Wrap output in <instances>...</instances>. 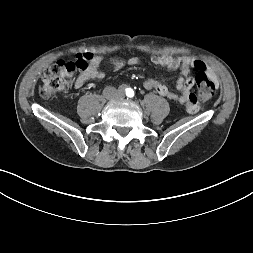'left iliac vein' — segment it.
I'll use <instances>...</instances> for the list:
<instances>
[{
  "instance_id": "1",
  "label": "left iliac vein",
  "mask_w": 253,
  "mask_h": 253,
  "mask_svg": "<svg viewBox=\"0 0 253 253\" xmlns=\"http://www.w3.org/2000/svg\"><path fill=\"white\" fill-rule=\"evenodd\" d=\"M117 95H118L119 97H122L124 94L121 93V92H119Z\"/></svg>"
}]
</instances>
